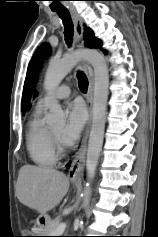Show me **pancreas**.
<instances>
[{
    "label": "pancreas",
    "instance_id": "cf45deb5",
    "mask_svg": "<svg viewBox=\"0 0 158 237\" xmlns=\"http://www.w3.org/2000/svg\"><path fill=\"white\" fill-rule=\"evenodd\" d=\"M59 220H48L44 227V233L47 236H57Z\"/></svg>",
    "mask_w": 158,
    "mask_h": 237
}]
</instances>
